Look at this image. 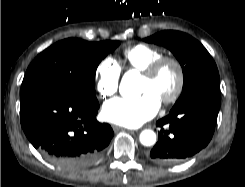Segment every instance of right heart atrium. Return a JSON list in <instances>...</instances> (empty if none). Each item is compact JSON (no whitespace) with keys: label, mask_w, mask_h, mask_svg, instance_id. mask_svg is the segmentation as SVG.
I'll return each instance as SVG.
<instances>
[{"label":"right heart atrium","mask_w":245,"mask_h":187,"mask_svg":"<svg viewBox=\"0 0 245 187\" xmlns=\"http://www.w3.org/2000/svg\"><path fill=\"white\" fill-rule=\"evenodd\" d=\"M121 69L110 56L100 61L96 69V92L102 99L113 97L119 85Z\"/></svg>","instance_id":"obj_1"}]
</instances>
